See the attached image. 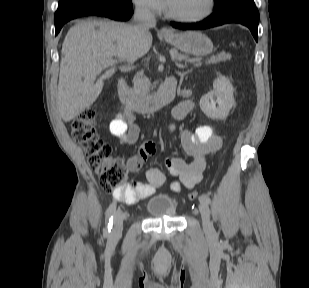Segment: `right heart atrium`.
I'll return each mask as SVG.
<instances>
[{"label": "right heart atrium", "instance_id": "d8ad5b80", "mask_svg": "<svg viewBox=\"0 0 309 288\" xmlns=\"http://www.w3.org/2000/svg\"><path fill=\"white\" fill-rule=\"evenodd\" d=\"M131 2L137 9L148 14H158L163 9L162 0H131Z\"/></svg>", "mask_w": 309, "mask_h": 288}]
</instances>
